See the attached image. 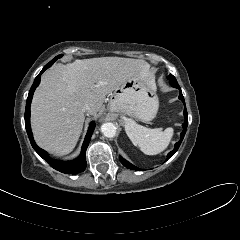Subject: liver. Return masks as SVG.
I'll return each instance as SVG.
<instances>
[{"label": "liver", "mask_w": 240, "mask_h": 240, "mask_svg": "<svg viewBox=\"0 0 240 240\" xmlns=\"http://www.w3.org/2000/svg\"><path fill=\"white\" fill-rule=\"evenodd\" d=\"M150 65L141 59L100 57L56 64L41 77L31 104V126L38 146L62 156L77 144L85 116L96 115L107 94L137 76L155 83Z\"/></svg>", "instance_id": "obj_1"}]
</instances>
